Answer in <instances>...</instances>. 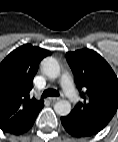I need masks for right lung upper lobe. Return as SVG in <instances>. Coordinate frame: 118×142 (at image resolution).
<instances>
[{
    "instance_id": "1",
    "label": "right lung upper lobe",
    "mask_w": 118,
    "mask_h": 142,
    "mask_svg": "<svg viewBox=\"0 0 118 142\" xmlns=\"http://www.w3.org/2000/svg\"><path fill=\"white\" fill-rule=\"evenodd\" d=\"M50 52L29 44L11 52L0 63V128L19 134L30 127L43 101L29 97L40 61Z\"/></svg>"
}]
</instances>
